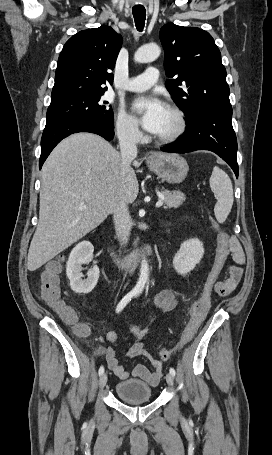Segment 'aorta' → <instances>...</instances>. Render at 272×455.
I'll return each instance as SVG.
<instances>
[{"label": "aorta", "instance_id": "1", "mask_svg": "<svg viewBox=\"0 0 272 455\" xmlns=\"http://www.w3.org/2000/svg\"><path fill=\"white\" fill-rule=\"evenodd\" d=\"M161 49L157 44H148L140 47L135 55L134 60L138 63L152 62L160 56ZM149 267L147 261L144 259L141 262V269L138 282L134 291L141 293L148 280Z\"/></svg>", "mask_w": 272, "mask_h": 455}]
</instances>
